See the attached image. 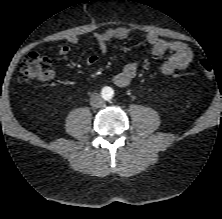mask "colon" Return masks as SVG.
<instances>
[{
	"instance_id": "obj_1",
	"label": "colon",
	"mask_w": 222,
	"mask_h": 219,
	"mask_svg": "<svg viewBox=\"0 0 222 219\" xmlns=\"http://www.w3.org/2000/svg\"><path fill=\"white\" fill-rule=\"evenodd\" d=\"M200 68L205 77H213L214 68L211 62L207 60L202 61ZM52 73L49 59L36 52L27 54L19 67V76L24 80H48L52 76Z\"/></svg>"
}]
</instances>
